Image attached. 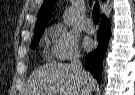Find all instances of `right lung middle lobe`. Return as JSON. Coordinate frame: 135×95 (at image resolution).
Masks as SVG:
<instances>
[{
  "mask_svg": "<svg viewBox=\"0 0 135 95\" xmlns=\"http://www.w3.org/2000/svg\"><path fill=\"white\" fill-rule=\"evenodd\" d=\"M43 32H44V31L36 32V33L34 34L33 45H32V48H33V49H35V48L37 47V45H38V43H39V40H40V38H41Z\"/></svg>",
  "mask_w": 135,
  "mask_h": 95,
  "instance_id": "dd1d6c3e",
  "label": "right lung middle lobe"
}]
</instances>
